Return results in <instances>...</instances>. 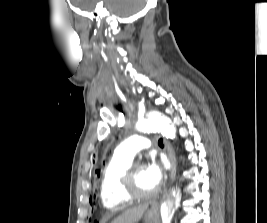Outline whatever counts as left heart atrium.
Returning a JSON list of instances; mask_svg holds the SVG:
<instances>
[{
  "label": "left heart atrium",
  "instance_id": "obj_1",
  "mask_svg": "<svg viewBox=\"0 0 267 223\" xmlns=\"http://www.w3.org/2000/svg\"><path fill=\"white\" fill-rule=\"evenodd\" d=\"M167 167L168 164L164 159L160 161L153 160L146 167V176L156 188L161 184L164 177V171L167 169Z\"/></svg>",
  "mask_w": 267,
  "mask_h": 223
}]
</instances>
